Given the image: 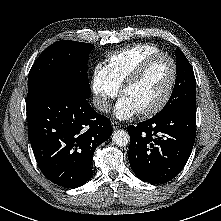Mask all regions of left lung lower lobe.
I'll list each match as a JSON object with an SVG mask.
<instances>
[{
    "label": "left lung lower lobe",
    "instance_id": "obj_1",
    "mask_svg": "<svg viewBox=\"0 0 221 221\" xmlns=\"http://www.w3.org/2000/svg\"><path fill=\"white\" fill-rule=\"evenodd\" d=\"M196 107H180L127 127L129 162L136 176L164 184L183 169L195 142Z\"/></svg>",
    "mask_w": 221,
    "mask_h": 221
}]
</instances>
